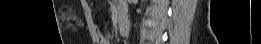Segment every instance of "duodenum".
Instances as JSON below:
<instances>
[{"instance_id": "duodenum-1", "label": "duodenum", "mask_w": 261, "mask_h": 44, "mask_svg": "<svg viewBox=\"0 0 261 44\" xmlns=\"http://www.w3.org/2000/svg\"><path fill=\"white\" fill-rule=\"evenodd\" d=\"M118 26L121 34L127 35L129 33L128 18L123 9H121L118 14Z\"/></svg>"}]
</instances>
